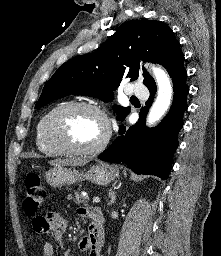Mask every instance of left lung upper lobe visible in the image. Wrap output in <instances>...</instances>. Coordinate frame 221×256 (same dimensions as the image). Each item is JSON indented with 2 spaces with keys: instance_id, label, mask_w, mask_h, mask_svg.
<instances>
[{
  "instance_id": "obj_1",
  "label": "left lung upper lobe",
  "mask_w": 221,
  "mask_h": 256,
  "mask_svg": "<svg viewBox=\"0 0 221 256\" xmlns=\"http://www.w3.org/2000/svg\"><path fill=\"white\" fill-rule=\"evenodd\" d=\"M141 60L164 66L171 77L184 68L185 59L178 40L166 24L128 21L98 51L76 56L60 66L44 86L35 108L70 94L112 101L113 91L122 79L134 81L139 77ZM142 75L147 88L155 84L144 68ZM113 108L118 120H123L131 109L117 105Z\"/></svg>"
}]
</instances>
